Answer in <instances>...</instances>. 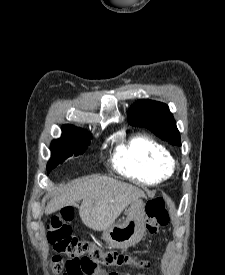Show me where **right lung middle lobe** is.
<instances>
[{"instance_id": "obj_1", "label": "right lung middle lobe", "mask_w": 225, "mask_h": 275, "mask_svg": "<svg viewBox=\"0 0 225 275\" xmlns=\"http://www.w3.org/2000/svg\"><path fill=\"white\" fill-rule=\"evenodd\" d=\"M62 136L51 143L52 156L47 164L48 173L70 156L82 154L90 144L91 135L80 128L63 126Z\"/></svg>"}]
</instances>
